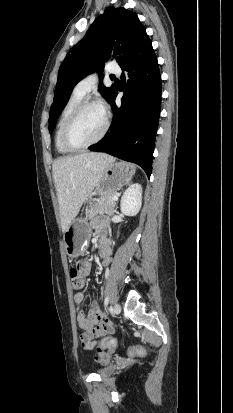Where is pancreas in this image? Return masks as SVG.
<instances>
[{
	"instance_id": "1",
	"label": "pancreas",
	"mask_w": 233,
	"mask_h": 413,
	"mask_svg": "<svg viewBox=\"0 0 233 413\" xmlns=\"http://www.w3.org/2000/svg\"><path fill=\"white\" fill-rule=\"evenodd\" d=\"M114 193L102 195L87 211V218L92 219L97 214L112 215L114 212L115 201L112 199Z\"/></svg>"
}]
</instances>
